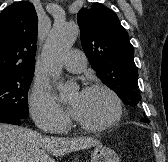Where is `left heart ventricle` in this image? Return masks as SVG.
Returning <instances> with one entry per match:
<instances>
[{
	"instance_id": "obj_1",
	"label": "left heart ventricle",
	"mask_w": 168,
	"mask_h": 162,
	"mask_svg": "<svg viewBox=\"0 0 168 162\" xmlns=\"http://www.w3.org/2000/svg\"><path fill=\"white\" fill-rule=\"evenodd\" d=\"M75 103H77L75 117L86 124H102L114 113L113 101L103 91L76 93L72 97V104Z\"/></svg>"
}]
</instances>
